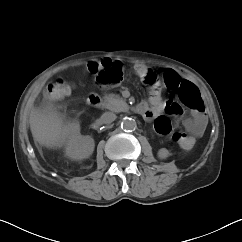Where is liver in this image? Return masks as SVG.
Segmentation results:
<instances>
[{
  "mask_svg": "<svg viewBox=\"0 0 242 242\" xmlns=\"http://www.w3.org/2000/svg\"><path fill=\"white\" fill-rule=\"evenodd\" d=\"M29 121L35 143L47 148L63 146L67 135V125L55 109H33Z\"/></svg>",
  "mask_w": 242,
  "mask_h": 242,
  "instance_id": "6515ba94",
  "label": "liver"
}]
</instances>
